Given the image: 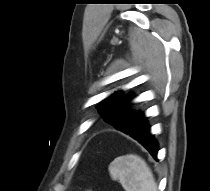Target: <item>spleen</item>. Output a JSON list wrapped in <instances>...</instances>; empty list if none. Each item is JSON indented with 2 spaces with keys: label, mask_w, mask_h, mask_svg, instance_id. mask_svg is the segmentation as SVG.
Segmentation results:
<instances>
[{
  "label": "spleen",
  "mask_w": 210,
  "mask_h": 191,
  "mask_svg": "<svg viewBox=\"0 0 210 191\" xmlns=\"http://www.w3.org/2000/svg\"><path fill=\"white\" fill-rule=\"evenodd\" d=\"M110 176L119 181L125 191H157L154 176L139 156L127 154L115 158L109 165Z\"/></svg>",
  "instance_id": "obj_1"
}]
</instances>
